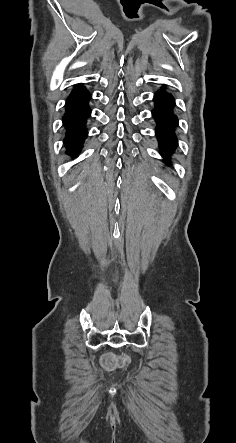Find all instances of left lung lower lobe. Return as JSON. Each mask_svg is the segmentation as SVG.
I'll list each match as a JSON object with an SVG mask.
<instances>
[{
    "label": "left lung lower lobe",
    "instance_id": "1",
    "mask_svg": "<svg viewBox=\"0 0 236 443\" xmlns=\"http://www.w3.org/2000/svg\"><path fill=\"white\" fill-rule=\"evenodd\" d=\"M154 101L153 117L158 124L157 137L162 150L161 154L168 160L169 155L174 152L177 146L174 128L178 124V120L172 112L175 101L172 95L163 89L155 94Z\"/></svg>",
    "mask_w": 236,
    "mask_h": 443
}]
</instances>
